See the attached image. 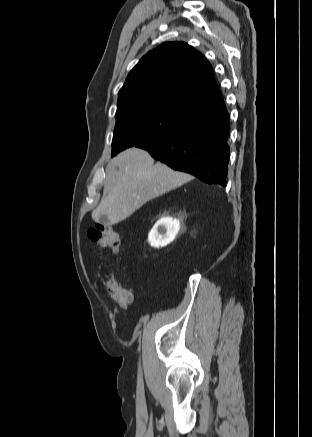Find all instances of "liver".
Returning <instances> with one entry per match:
<instances>
[{"mask_svg": "<svg viewBox=\"0 0 312 437\" xmlns=\"http://www.w3.org/2000/svg\"><path fill=\"white\" fill-rule=\"evenodd\" d=\"M193 177L157 162L140 148H130L113 158L106 170L103 197L92 218L117 224L146 202L191 181Z\"/></svg>", "mask_w": 312, "mask_h": 437, "instance_id": "1", "label": "liver"}]
</instances>
